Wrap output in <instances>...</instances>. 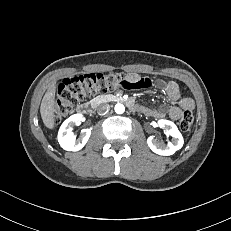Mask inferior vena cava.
I'll return each mask as SVG.
<instances>
[{"mask_svg": "<svg viewBox=\"0 0 231 231\" xmlns=\"http://www.w3.org/2000/svg\"><path fill=\"white\" fill-rule=\"evenodd\" d=\"M110 105L109 104H101L97 107V112L100 115H105L109 112Z\"/></svg>", "mask_w": 231, "mask_h": 231, "instance_id": "inferior-vena-cava-1", "label": "inferior vena cava"}]
</instances>
